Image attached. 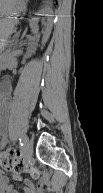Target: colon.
Returning a JSON list of instances; mask_svg holds the SVG:
<instances>
[{"label": "colon", "mask_w": 103, "mask_h": 193, "mask_svg": "<svg viewBox=\"0 0 103 193\" xmlns=\"http://www.w3.org/2000/svg\"><path fill=\"white\" fill-rule=\"evenodd\" d=\"M0 165L3 170L12 174L29 173L35 178L41 174L39 168L23 161L13 150L1 154Z\"/></svg>", "instance_id": "5ec220e1"}]
</instances>
